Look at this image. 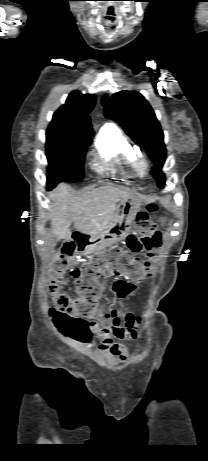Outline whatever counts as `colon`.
Instances as JSON below:
<instances>
[{
    "label": "colon",
    "instance_id": "obj_1",
    "mask_svg": "<svg viewBox=\"0 0 208 461\" xmlns=\"http://www.w3.org/2000/svg\"><path fill=\"white\" fill-rule=\"evenodd\" d=\"M154 205L148 206L152 212ZM137 233L129 234L125 248L113 245L106 253L93 256L89 261L71 271L74 279L75 297L60 292V281L68 270L71 257L75 250L83 245L84 238L79 242L70 241L65 244L51 267V289L55 296L56 307L52 309V317L59 331L66 337L84 343L89 339L87 317H90L97 307L101 289L97 279L112 272L116 276H126L133 281H139L153 274L149 261L133 257V253L150 250V258L156 259L157 254L151 250L161 244L160 231L147 212H140L136 217Z\"/></svg>",
    "mask_w": 208,
    "mask_h": 461
}]
</instances>
